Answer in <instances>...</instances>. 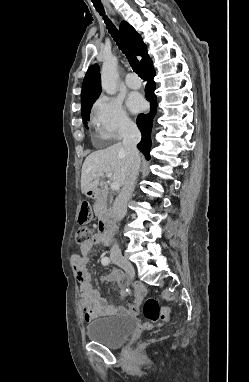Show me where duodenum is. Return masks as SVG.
Returning <instances> with one entry per match:
<instances>
[{"mask_svg": "<svg viewBox=\"0 0 249 382\" xmlns=\"http://www.w3.org/2000/svg\"><path fill=\"white\" fill-rule=\"evenodd\" d=\"M90 191L93 192V197L95 198L98 193L97 188H91ZM115 231V224L110 219H102L99 221V232L106 238L111 239Z\"/></svg>", "mask_w": 249, "mask_h": 382, "instance_id": "410a0bca", "label": "duodenum"}]
</instances>
